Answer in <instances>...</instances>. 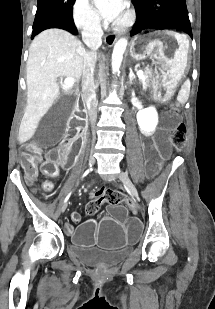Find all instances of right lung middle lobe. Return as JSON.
<instances>
[{
    "label": "right lung middle lobe",
    "mask_w": 215,
    "mask_h": 309,
    "mask_svg": "<svg viewBox=\"0 0 215 309\" xmlns=\"http://www.w3.org/2000/svg\"><path fill=\"white\" fill-rule=\"evenodd\" d=\"M75 0H37L32 39L48 28H62L76 33L72 12Z\"/></svg>",
    "instance_id": "right-lung-middle-lobe-1"
}]
</instances>
